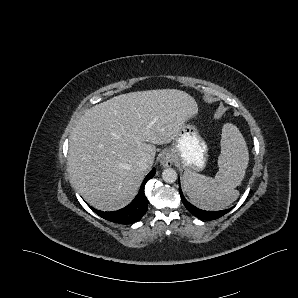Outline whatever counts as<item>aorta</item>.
I'll list each match as a JSON object with an SVG mask.
<instances>
[{
  "label": "aorta",
  "mask_w": 298,
  "mask_h": 298,
  "mask_svg": "<svg viewBox=\"0 0 298 298\" xmlns=\"http://www.w3.org/2000/svg\"><path fill=\"white\" fill-rule=\"evenodd\" d=\"M162 180L166 183H173L177 180L178 173L174 168H165L161 173Z\"/></svg>",
  "instance_id": "aorta-1"
}]
</instances>
